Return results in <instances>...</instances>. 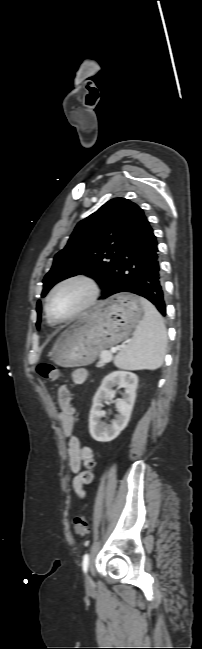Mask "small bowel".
Returning a JSON list of instances; mask_svg holds the SVG:
<instances>
[{"label":"small bowel","instance_id":"small-bowel-1","mask_svg":"<svg viewBox=\"0 0 202 649\" xmlns=\"http://www.w3.org/2000/svg\"><path fill=\"white\" fill-rule=\"evenodd\" d=\"M87 377L83 368L72 371L71 379L75 384H82ZM59 418L64 437L68 438L66 456L71 472L75 474L73 488L79 497L85 496L84 486L90 484L94 479L95 459L90 448L81 445L80 440L73 434L75 424V408L72 404V396L65 387L58 390ZM82 465L85 469L81 472Z\"/></svg>","mask_w":202,"mask_h":649}]
</instances>
